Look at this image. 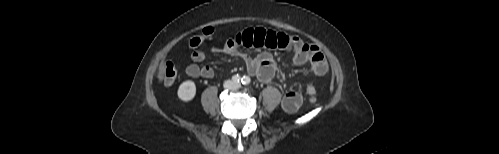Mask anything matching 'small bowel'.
I'll return each instance as SVG.
<instances>
[{"instance_id": "small-bowel-1", "label": "small bowel", "mask_w": 499, "mask_h": 154, "mask_svg": "<svg viewBox=\"0 0 499 154\" xmlns=\"http://www.w3.org/2000/svg\"><path fill=\"white\" fill-rule=\"evenodd\" d=\"M241 47L264 49H282L288 51L296 65L309 63L317 76H324L328 71V63L322 51L315 45L303 42L297 36H289L264 28H247L228 39L220 48L213 47L212 52H222L240 58L247 71L262 82H270L275 75L276 65L270 52L263 51L256 57L241 52ZM205 53L196 49L191 54L192 63L186 68L189 77L211 79L214 71L211 67L199 64L204 60ZM282 108L287 113H295L302 105V96L298 91L288 92L282 99Z\"/></svg>"}]
</instances>
